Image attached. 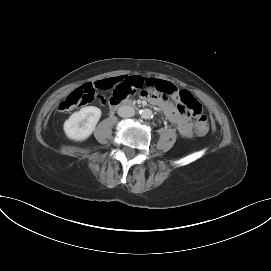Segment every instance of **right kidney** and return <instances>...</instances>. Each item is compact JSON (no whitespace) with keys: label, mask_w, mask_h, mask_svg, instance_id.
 I'll return each mask as SVG.
<instances>
[{"label":"right kidney","mask_w":271,"mask_h":271,"mask_svg":"<svg viewBox=\"0 0 271 271\" xmlns=\"http://www.w3.org/2000/svg\"><path fill=\"white\" fill-rule=\"evenodd\" d=\"M101 110L95 106H87L73 113L64 122L66 136L75 141L87 139L94 131L99 119Z\"/></svg>","instance_id":"right-kidney-1"}]
</instances>
